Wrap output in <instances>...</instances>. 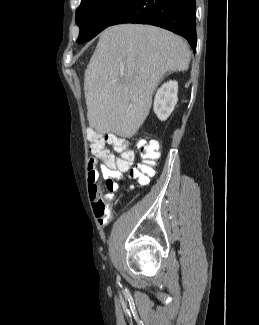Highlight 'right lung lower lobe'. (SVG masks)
Returning a JSON list of instances; mask_svg holds the SVG:
<instances>
[{
    "mask_svg": "<svg viewBox=\"0 0 259 325\" xmlns=\"http://www.w3.org/2000/svg\"><path fill=\"white\" fill-rule=\"evenodd\" d=\"M195 8V0H127L110 25H155L183 36L194 50L197 43Z\"/></svg>",
    "mask_w": 259,
    "mask_h": 325,
    "instance_id": "obj_1",
    "label": "right lung lower lobe"
}]
</instances>
